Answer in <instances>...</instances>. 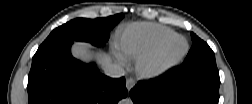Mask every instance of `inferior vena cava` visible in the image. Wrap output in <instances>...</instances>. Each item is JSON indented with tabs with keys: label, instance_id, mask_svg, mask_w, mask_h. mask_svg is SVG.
I'll list each match as a JSON object with an SVG mask.
<instances>
[{
	"label": "inferior vena cava",
	"instance_id": "1",
	"mask_svg": "<svg viewBox=\"0 0 252 104\" xmlns=\"http://www.w3.org/2000/svg\"><path fill=\"white\" fill-rule=\"evenodd\" d=\"M103 69L105 74L111 78H120L125 75L123 67L116 63H109Z\"/></svg>",
	"mask_w": 252,
	"mask_h": 104
}]
</instances>
